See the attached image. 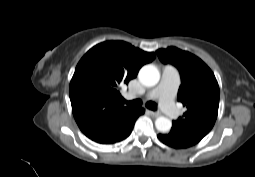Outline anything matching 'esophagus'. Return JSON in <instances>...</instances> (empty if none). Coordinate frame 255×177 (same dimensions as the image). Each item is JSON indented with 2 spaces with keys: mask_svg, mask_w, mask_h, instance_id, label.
Instances as JSON below:
<instances>
[{
  "mask_svg": "<svg viewBox=\"0 0 255 177\" xmlns=\"http://www.w3.org/2000/svg\"><path fill=\"white\" fill-rule=\"evenodd\" d=\"M150 115L153 116V117H158L160 116V113L159 112H154V111H149Z\"/></svg>",
  "mask_w": 255,
  "mask_h": 177,
  "instance_id": "obj_1",
  "label": "esophagus"
}]
</instances>
